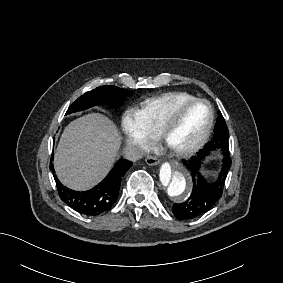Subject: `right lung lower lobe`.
Instances as JSON below:
<instances>
[{
	"mask_svg": "<svg viewBox=\"0 0 283 283\" xmlns=\"http://www.w3.org/2000/svg\"><path fill=\"white\" fill-rule=\"evenodd\" d=\"M53 160V154L51 161ZM132 166L128 160H119L106 178L93 189L79 192L63 186L54 175L56 187L62 200L81 214L95 216L107 211L117 200L122 177ZM50 169L54 173L53 165Z\"/></svg>",
	"mask_w": 283,
	"mask_h": 283,
	"instance_id": "obj_1",
	"label": "right lung lower lobe"
}]
</instances>
